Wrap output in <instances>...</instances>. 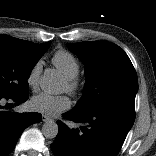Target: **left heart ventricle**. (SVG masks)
I'll return each instance as SVG.
<instances>
[{"label": "left heart ventricle", "instance_id": "b2bd125f", "mask_svg": "<svg viewBox=\"0 0 156 156\" xmlns=\"http://www.w3.org/2000/svg\"><path fill=\"white\" fill-rule=\"evenodd\" d=\"M62 90H63V91L66 90V83H65V81H63V84H62Z\"/></svg>", "mask_w": 156, "mask_h": 156}]
</instances>
